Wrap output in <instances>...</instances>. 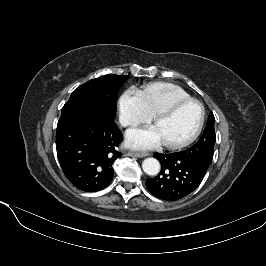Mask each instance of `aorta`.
Wrapping results in <instances>:
<instances>
[{"mask_svg": "<svg viewBox=\"0 0 266 266\" xmlns=\"http://www.w3.org/2000/svg\"><path fill=\"white\" fill-rule=\"evenodd\" d=\"M142 168L146 174L154 176L160 172V163L155 158H146L142 163Z\"/></svg>", "mask_w": 266, "mask_h": 266, "instance_id": "1", "label": "aorta"}]
</instances>
